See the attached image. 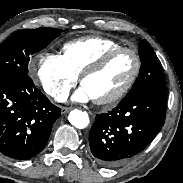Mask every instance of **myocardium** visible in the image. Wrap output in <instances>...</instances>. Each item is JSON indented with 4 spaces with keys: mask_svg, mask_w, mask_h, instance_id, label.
I'll use <instances>...</instances> for the list:
<instances>
[{
    "mask_svg": "<svg viewBox=\"0 0 183 183\" xmlns=\"http://www.w3.org/2000/svg\"><path fill=\"white\" fill-rule=\"evenodd\" d=\"M122 52H128L130 54H132V56L134 57L135 60V66H134V70L129 78V80L127 81V83L116 93L112 94L111 96L107 97V98H103V99H93V101L98 104V105H113L115 103H117L118 101H120L133 87L134 83L136 82L140 70H141V58L140 55L138 53V51L134 48H130V47H117L115 49H112L110 51H108L107 53H105L103 56H101L96 62H94L93 64H91L88 68H86L82 74L80 75V83L81 85L83 84L84 80L101 71L103 68H105L110 61L118 54L122 53Z\"/></svg>",
    "mask_w": 183,
    "mask_h": 183,
    "instance_id": "1",
    "label": "myocardium"
}]
</instances>
